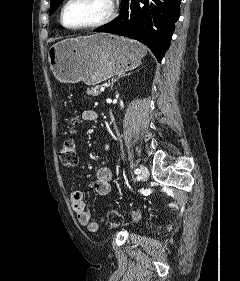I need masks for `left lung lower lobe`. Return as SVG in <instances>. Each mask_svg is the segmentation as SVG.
<instances>
[{
	"instance_id": "1",
	"label": "left lung lower lobe",
	"mask_w": 240,
	"mask_h": 281,
	"mask_svg": "<svg viewBox=\"0 0 240 281\" xmlns=\"http://www.w3.org/2000/svg\"><path fill=\"white\" fill-rule=\"evenodd\" d=\"M181 0H122L121 12L94 32H108L136 39L162 60L170 46Z\"/></svg>"
}]
</instances>
